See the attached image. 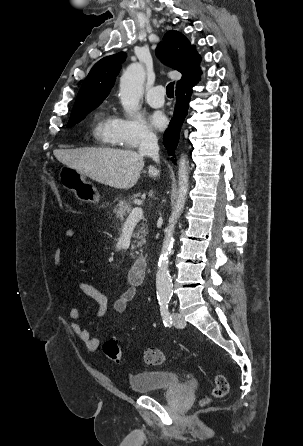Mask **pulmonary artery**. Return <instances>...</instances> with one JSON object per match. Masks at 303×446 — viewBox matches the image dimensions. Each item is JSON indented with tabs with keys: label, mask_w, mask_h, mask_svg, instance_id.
<instances>
[{
	"label": "pulmonary artery",
	"mask_w": 303,
	"mask_h": 446,
	"mask_svg": "<svg viewBox=\"0 0 303 446\" xmlns=\"http://www.w3.org/2000/svg\"><path fill=\"white\" fill-rule=\"evenodd\" d=\"M165 89L161 85L151 88L147 93V102L150 106L159 108L164 104Z\"/></svg>",
	"instance_id": "pulmonary-artery-1"
}]
</instances>
